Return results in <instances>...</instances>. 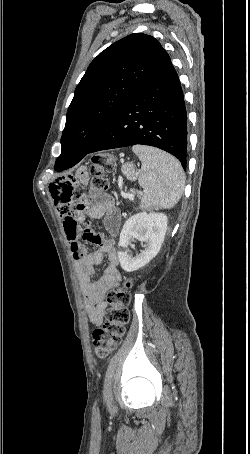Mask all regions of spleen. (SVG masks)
Here are the masks:
<instances>
[{"label": "spleen", "instance_id": "obj_1", "mask_svg": "<svg viewBox=\"0 0 250 454\" xmlns=\"http://www.w3.org/2000/svg\"><path fill=\"white\" fill-rule=\"evenodd\" d=\"M133 152L142 163L138 182L144 188L142 209H170L177 204L185 186V174L173 156L153 147L135 145Z\"/></svg>", "mask_w": 250, "mask_h": 454}]
</instances>
